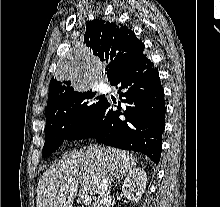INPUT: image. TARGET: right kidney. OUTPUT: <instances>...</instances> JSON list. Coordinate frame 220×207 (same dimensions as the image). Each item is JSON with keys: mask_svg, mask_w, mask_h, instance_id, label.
Instances as JSON below:
<instances>
[{"mask_svg": "<svg viewBox=\"0 0 220 207\" xmlns=\"http://www.w3.org/2000/svg\"><path fill=\"white\" fill-rule=\"evenodd\" d=\"M146 184V172L141 168H134L124 179L122 192L127 199L138 203L146 189Z\"/></svg>", "mask_w": 220, "mask_h": 207, "instance_id": "right-kidney-1", "label": "right kidney"}]
</instances>
